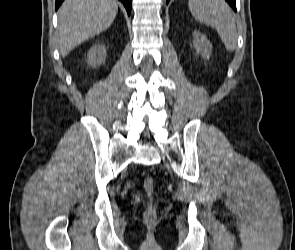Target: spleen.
Segmentation results:
<instances>
[{"mask_svg":"<svg viewBox=\"0 0 295 250\" xmlns=\"http://www.w3.org/2000/svg\"><path fill=\"white\" fill-rule=\"evenodd\" d=\"M188 5L196 20L216 29L227 50H235L236 24L232 11L224 0H189Z\"/></svg>","mask_w":295,"mask_h":250,"instance_id":"1","label":"spleen"}]
</instances>
